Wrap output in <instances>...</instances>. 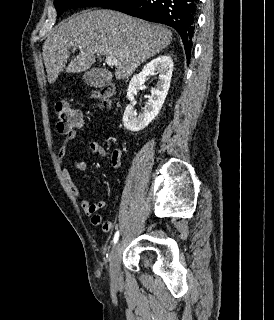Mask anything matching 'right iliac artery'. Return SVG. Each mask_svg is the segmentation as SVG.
Wrapping results in <instances>:
<instances>
[{
	"mask_svg": "<svg viewBox=\"0 0 274 320\" xmlns=\"http://www.w3.org/2000/svg\"><path fill=\"white\" fill-rule=\"evenodd\" d=\"M118 238H119V231H117V232L115 233V235H114V238H113V243H114V244L117 243Z\"/></svg>",
	"mask_w": 274,
	"mask_h": 320,
	"instance_id": "obj_1",
	"label": "right iliac artery"
}]
</instances>
